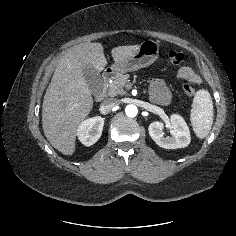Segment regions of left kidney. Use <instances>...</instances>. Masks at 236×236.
<instances>
[{
  "label": "left kidney",
  "mask_w": 236,
  "mask_h": 236,
  "mask_svg": "<svg viewBox=\"0 0 236 236\" xmlns=\"http://www.w3.org/2000/svg\"><path fill=\"white\" fill-rule=\"evenodd\" d=\"M167 127L171 130V137H165L164 124L162 122L155 121L149 125V135L158 146L165 149H177L189 145L191 139L190 131L185 120L180 115H171Z\"/></svg>",
  "instance_id": "left-kidney-1"
}]
</instances>
